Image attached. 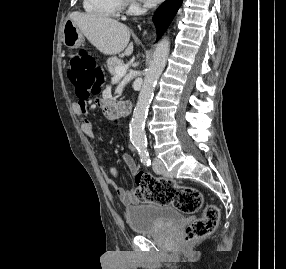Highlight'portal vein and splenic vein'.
<instances>
[{"instance_id":"portal-vein-and-splenic-vein-1","label":"portal vein and splenic vein","mask_w":286,"mask_h":269,"mask_svg":"<svg viewBox=\"0 0 286 269\" xmlns=\"http://www.w3.org/2000/svg\"><path fill=\"white\" fill-rule=\"evenodd\" d=\"M127 73V68L125 67H117L116 68V75L112 78L113 81L120 80L122 77H124Z\"/></svg>"}]
</instances>
